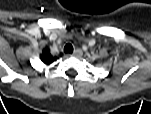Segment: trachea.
<instances>
[{"instance_id":"1","label":"trachea","mask_w":151,"mask_h":114,"mask_svg":"<svg viewBox=\"0 0 151 114\" xmlns=\"http://www.w3.org/2000/svg\"><path fill=\"white\" fill-rule=\"evenodd\" d=\"M73 50H74L73 46L70 43L66 44L65 47H64V52L65 53H72Z\"/></svg>"}]
</instances>
